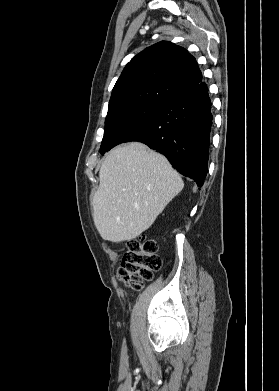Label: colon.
Here are the masks:
<instances>
[{
    "mask_svg": "<svg viewBox=\"0 0 279 391\" xmlns=\"http://www.w3.org/2000/svg\"><path fill=\"white\" fill-rule=\"evenodd\" d=\"M158 245L152 239L139 237L126 243L117 278L134 290H140L144 281L152 280L161 269L162 260L157 254Z\"/></svg>",
    "mask_w": 279,
    "mask_h": 391,
    "instance_id": "1",
    "label": "colon"
}]
</instances>
